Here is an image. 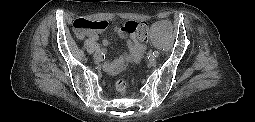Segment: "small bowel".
<instances>
[{"label":"small bowel","instance_id":"c3829d8e","mask_svg":"<svg viewBox=\"0 0 255 122\" xmlns=\"http://www.w3.org/2000/svg\"><path fill=\"white\" fill-rule=\"evenodd\" d=\"M118 35L122 39L129 37L127 42L128 52H124L118 58L105 63V69L111 73L122 71L126 67L128 61L135 64L139 63L146 50V45L142 43V41H146L147 38L140 40L135 32H128L124 27L118 30ZM82 38L95 41L98 40L99 34L97 31H89ZM103 45L108 46L109 41L107 39L103 40Z\"/></svg>","mask_w":255,"mask_h":122}]
</instances>
